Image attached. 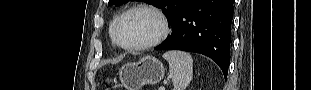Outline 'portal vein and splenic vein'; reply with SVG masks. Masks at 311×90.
<instances>
[{
	"label": "portal vein and splenic vein",
	"instance_id": "portal-vein-and-splenic-vein-1",
	"mask_svg": "<svg viewBox=\"0 0 311 90\" xmlns=\"http://www.w3.org/2000/svg\"><path fill=\"white\" fill-rule=\"evenodd\" d=\"M159 90H165V88H164V87H161Z\"/></svg>",
	"mask_w": 311,
	"mask_h": 90
}]
</instances>
